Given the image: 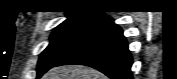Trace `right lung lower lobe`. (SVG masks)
I'll return each mask as SVG.
<instances>
[{"instance_id": "obj_1", "label": "right lung lower lobe", "mask_w": 177, "mask_h": 79, "mask_svg": "<svg viewBox=\"0 0 177 79\" xmlns=\"http://www.w3.org/2000/svg\"><path fill=\"white\" fill-rule=\"evenodd\" d=\"M66 64L87 65L111 79H132V58L123 31L106 16L85 40L53 67Z\"/></svg>"}]
</instances>
